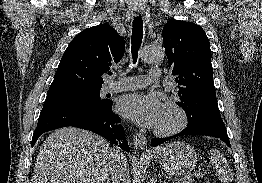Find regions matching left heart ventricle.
I'll return each instance as SVG.
<instances>
[{
	"label": "left heart ventricle",
	"mask_w": 262,
	"mask_h": 183,
	"mask_svg": "<svg viewBox=\"0 0 262 183\" xmlns=\"http://www.w3.org/2000/svg\"><path fill=\"white\" fill-rule=\"evenodd\" d=\"M178 122L176 112L169 108H164L157 129L166 130L174 127Z\"/></svg>",
	"instance_id": "obj_1"
}]
</instances>
